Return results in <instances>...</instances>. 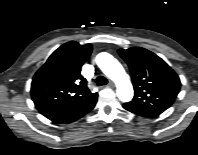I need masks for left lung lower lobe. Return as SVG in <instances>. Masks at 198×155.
Listing matches in <instances>:
<instances>
[{"instance_id": "0a47b994", "label": "left lung lower lobe", "mask_w": 198, "mask_h": 155, "mask_svg": "<svg viewBox=\"0 0 198 155\" xmlns=\"http://www.w3.org/2000/svg\"><path fill=\"white\" fill-rule=\"evenodd\" d=\"M123 107L132 112V113H135V114H138L140 116H144V117H152V116H156L157 114H153V113H143V112H139V111H136V110H133V109H130V108H127L125 105H123Z\"/></svg>"}]
</instances>
